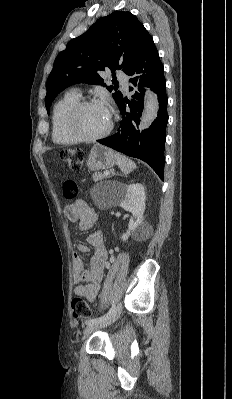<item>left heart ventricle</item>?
Wrapping results in <instances>:
<instances>
[{"label": "left heart ventricle", "mask_w": 232, "mask_h": 399, "mask_svg": "<svg viewBox=\"0 0 232 399\" xmlns=\"http://www.w3.org/2000/svg\"><path fill=\"white\" fill-rule=\"evenodd\" d=\"M111 118L101 104L85 107L78 115L76 128L86 137H94L104 133L109 127Z\"/></svg>", "instance_id": "b2bd125f"}]
</instances>
